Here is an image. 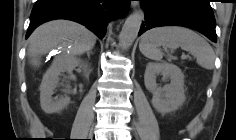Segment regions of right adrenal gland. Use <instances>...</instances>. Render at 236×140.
Returning <instances> with one entry per match:
<instances>
[{
  "mask_svg": "<svg viewBox=\"0 0 236 140\" xmlns=\"http://www.w3.org/2000/svg\"><path fill=\"white\" fill-rule=\"evenodd\" d=\"M88 57H90V53H88Z\"/></svg>",
  "mask_w": 236,
  "mask_h": 140,
  "instance_id": "right-adrenal-gland-1",
  "label": "right adrenal gland"
}]
</instances>
